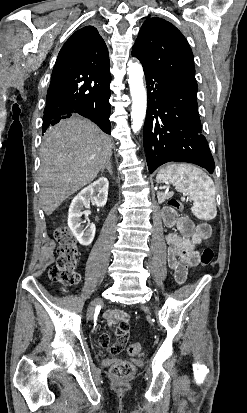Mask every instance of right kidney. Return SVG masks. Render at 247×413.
Returning a JSON list of instances; mask_svg holds the SVG:
<instances>
[{"label":"right kidney","mask_w":247,"mask_h":413,"mask_svg":"<svg viewBox=\"0 0 247 413\" xmlns=\"http://www.w3.org/2000/svg\"><path fill=\"white\" fill-rule=\"evenodd\" d=\"M108 186L109 180L105 176H100L98 180H94L89 186L82 188L76 196H74L68 213V227L71 229L74 237L79 241L80 245H91L94 237L96 227L93 223H87L85 229L82 225V215H88V213H82L84 207H88V204H97V207H104L108 198Z\"/></svg>","instance_id":"ca27d5eb"}]
</instances>
